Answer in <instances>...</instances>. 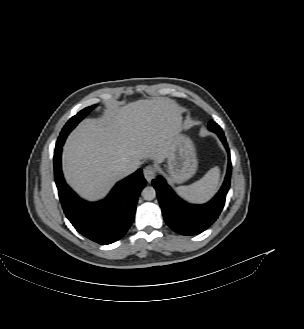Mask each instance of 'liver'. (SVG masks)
Masks as SVG:
<instances>
[{"label": "liver", "mask_w": 304, "mask_h": 329, "mask_svg": "<svg viewBox=\"0 0 304 329\" xmlns=\"http://www.w3.org/2000/svg\"><path fill=\"white\" fill-rule=\"evenodd\" d=\"M182 110L166 97L111 106L97 119H85L68 136L63 148V172L83 198L104 197L125 174L123 163L140 165L168 158L182 124ZM134 169V170H135ZM133 170V171H134Z\"/></svg>", "instance_id": "1"}]
</instances>
